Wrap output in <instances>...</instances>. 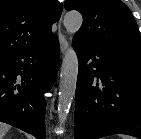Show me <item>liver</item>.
<instances>
[{
	"mask_svg": "<svg viewBox=\"0 0 141 139\" xmlns=\"http://www.w3.org/2000/svg\"><path fill=\"white\" fill-rule=\"evenodd\" d=\"M10 129L8 124L0 122V139H3L5 133Z\"/></svg>",
	"mask_w": 141,
	"mask_h": 139,
	"instance_id": "liver-1",
	"label": "liver"
}]
</instances>
